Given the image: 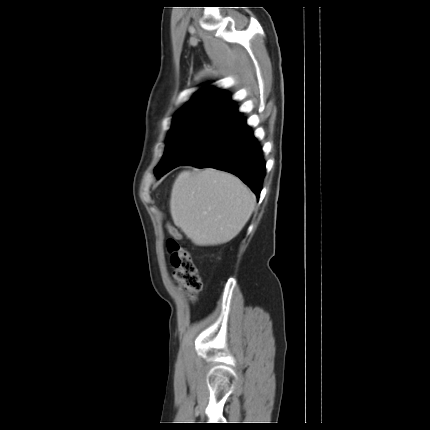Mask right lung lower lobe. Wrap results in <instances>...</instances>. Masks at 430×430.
<instances>
[{
    "mask_svg": "<svg viewBox=\"0 0 430 430\" xmlns=\"http://www.w3.org/2000/svg\"><path fill=\"white\" fill-rule=\"evenodd\" d=\"M183 164L211 167L235 174L257 198L260 196L266 171L265 161L246 119H241L229 132Z\"/></svg>",
    "mask_w": 430,
    "mask_h": 430,
    "instance_id": "obj_1",
    "label": "right lung lower lobe"
}]
</instances>
